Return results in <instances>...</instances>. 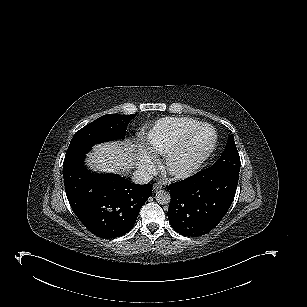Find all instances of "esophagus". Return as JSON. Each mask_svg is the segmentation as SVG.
Instances as JSON below:
<instances>
[{"instance_id": "1", "label": "esophagus", "mask_w": 307, "mask_h": 307, "mask_svg": "<svg viewBox=\"0 0 307 307\" xmlns=\"http://www.w3.org/2000/svg\"><path fill=\"white\" fill-rule=\"evenodd\" d=\"M162 188V186L159 184V183H155L154 185H153V190L156 192V191H158L159 189H161Z\"/></svg>"}]
</instances>
